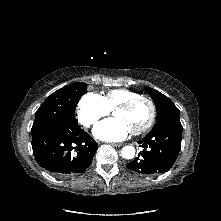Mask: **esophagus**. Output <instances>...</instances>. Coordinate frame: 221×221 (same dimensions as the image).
<instances>
[{
    "label": "esophagus",
    "mask_w": 221,
    "mask_h": 221,
    "mask_svg": "<svg viewBox=\"0 0 221 221\" xmlns=\"http://www.w3.org/2000/svg\"><path fill=\"white\" fill-rule=\"evenodd\" d=\"M113 147H121L122 143H110Z\"/></svg>",
    "instance_id": "obj_1"
}]
</instances>
